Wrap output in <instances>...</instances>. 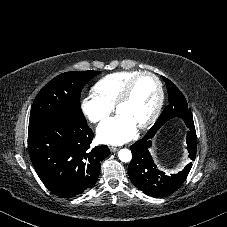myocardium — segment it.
Returning a JSON list of instances; mask_svg holds the SVG:
<instances>
[{"mask_svg":"<svg viewBox=\"0 0 227 227\" xmlns=\"http://www.w3.org/2000/svg\"><path fill=\"white\" fill-rule=\"evenodd\" d=\"M142 76L151 77L154 80V82L156 83L157 90H158L157 102H156L153 113L145 122H143L142 124H140L138 126L139 129H146V128L150 127L151 125H153L155 123V121L158 119L162 106H163V102H164L163 84H162L160 78L156 74H154L150 71H140L137 74H135L125 85L124 89L122 90L120 96L118 97V99L114 105V108H115V110H117V108L120 105L124 104L125 102H127L130 99L137 80Z\"/></svg>","mask_w":227,"mask_h":227,"instance_id":"f54148a6","label":"myocardium"}]
</instances>
